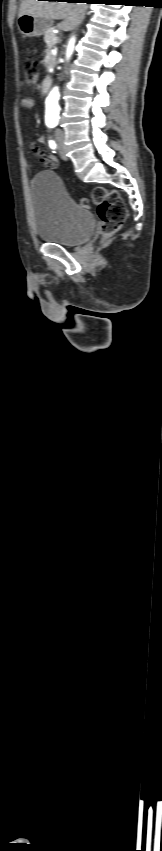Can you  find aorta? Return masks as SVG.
Masks as SVG:
<instances>
[{"label":"aorta","instance_id":"aorta-1","mask_svg":"<svg viewBox=\"0 0 162 851\" xmlns=\"http://www.w3.org/2000/svg\"><path fill=\"white\" fill-rule=\"evenodd\" d=\"M74 43H75V39L72 38L69 41V44H68V47H67V58H69L73 53ZM59 98H60L59 88L57 86H55L50 91V93H49V95L46 99V121L47 122H53V121L58 120V115H59V110H60L59 104H58Z\"/></svg>","mask_w":162,"mask_h":851}]
</instances>
